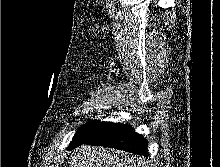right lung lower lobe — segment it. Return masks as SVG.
Wrapping results in <instances>:
<instances>
[{"label": "right lung lower lobe", "mask_w": 220, "mask_h": 167, "mask_svg": "<svg viewBox=\"0 0 220 167\" xmlns=\"http://www.w3.org/2000/svg\"><path fill=\"white\" fill-rule=\"evenodd\" d=\"M104 146L147 157L148 141L137 134L130 125L102 122L82 143Z\"/></svg>", "instance_id": "1"}]
</instances>
